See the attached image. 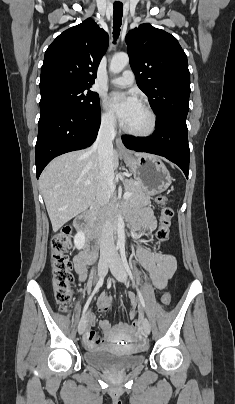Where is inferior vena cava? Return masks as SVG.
Wrapping results in <instances>:
<instances>
[{
  "label": "inferior vena cava",
  "mask_w": 235,
  "mask_h": 404,
  "mask_svg": "<svg viewBox=\"0 0 235 404\" xmlns=\"http://www.w3.org/2000/svg\"><path fill=\"white\" fill-rule=\"evenodd\" d=\"M116 120L112 117L101 122L96 141L91 147L98 156L100 167L99 187L96 195L98 204L106 207L110 201L114 189V168H113V140L115 138ZM115 250L113 239V227L111 220L106 217L101 233L100 254H113Z\"/></svg>",
  "instance_id": "obj_1"
}]
</instances>
